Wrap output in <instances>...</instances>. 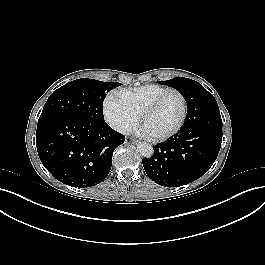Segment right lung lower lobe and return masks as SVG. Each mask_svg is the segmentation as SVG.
<instances>
[{"instance_id": "1", "label": "right lung lower lobe", "mask_w": 265, "mask_h": 265, "mask_svg": "<svg viewBox=\"0 0 265 265\" xmlns=\"http://www.w3.org/2000/svg\"><path fill=\"white\" fill-rule=\"evenodd\" d=\"M125 136L104 119L61 113L41 115L36 131L38 155L44 167L72 187L101 183L109 174L114 149Z\"/></svg>"}]
</instances>
